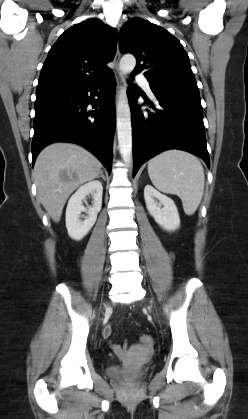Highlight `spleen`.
<instances>
[{
	"instance_id": "1",
	"label": "spleen",
	"mask_w": 248,
	"mask_h": 419,
	"mask_svg": "<svg viewBox=\"0 0 248 419\" xmlns=\"http://www.w3.org/2000/svg\"><path fill=\"white\" fill-rule=\"evenodd\" d=\"M148 174L158 190L182 200L187 215L195 213L204 194L205 175L193 154L176 149L165 151L149 161Z\"/></svg>"
}]
</instances>
